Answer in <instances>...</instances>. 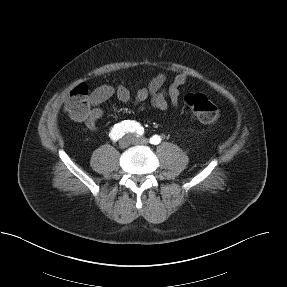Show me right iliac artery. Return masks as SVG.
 <instances>
[{"label": "right iliac artery", "instance_id": "obj_1", "mask_svg": "<svg viewBox=\"0 0 287 287\" xmlns=\"http://www.w3.org/2000/svg\"><path fill=\"white\" fill-rule=\"evenodd\" d=\"M136 128H138V135H142L144 133L143 127L135 121H122L121 123H117L112 128L109 136L112 140L117 141L122 136H124L128 132H136Z\"/></svg>", "mask_w": 287, "mask_h": 287}]
</instances>
